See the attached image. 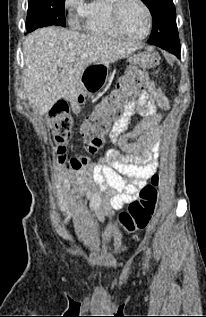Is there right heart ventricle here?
Returning <instances> with one entry per match:
<instances>
[{"mask_svg": "<svg viewBox=\"0 0 206 317\" xmlns=\"http://www.w3.org/2000/svg\"><path fill=\"white\" fill-rule=\"evenodd\" d=\"M110 2L111 0H89L85 3L82 25L87 33L112 38L118 37L110 22Z\"/></svg>", "mask_w": 206, "mask_h": 317, "instance_id": "e07e8e85", "label": "right heart ventricle"}]
</instances>
